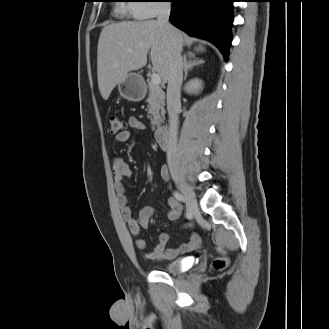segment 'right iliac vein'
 <instances>
[{"label":"right iliac vein","mask_w":329,"mask_h":329,"mask_svg":"<svg viewBox=\"0 0 329 329\" xmlns=\"http://www.w3.org/2000/svg\"><path fill=\"white\" fill-rule=\"evenodd\" d=\"M175 182L185 198L188 212L194 213L198 208V204L192 189L182 178L176 177Z\"/></svg>","instance_id":"right-iliac-vein-1"}]
</instances>
